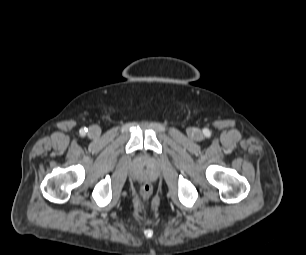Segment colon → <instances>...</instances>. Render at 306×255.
I'll return each instance as SVG.
<instances>
[{
	"instance_id": "colon-1",
	"label": "colon",
	"mask_w": 306,
	"mask_h": 255,
	"mask_svg": "<svg viewBox=\"0 0 306 255\" xmlns=\"http://www.w3.org/2000/svg\"><path fill=\"white\" fill-rule=\"evenodd\" d=\"M140 193L144 199H149L152 194V186L149 183L143 184Z\"/></svg>"
}]
</instances>
